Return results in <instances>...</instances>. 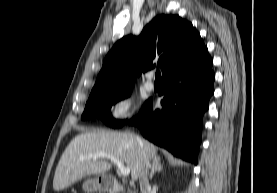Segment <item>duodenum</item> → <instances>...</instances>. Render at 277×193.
I'll return each mask as SVG.
<instances>
[{
  "mask_svg": "<svg viewBox=\"0 0 277 193\" xmlns=\"http://www.w3.org/2000/svg\"><path fill=\"white\" fill-rule=\"evenodd\" d=\"M102 187L109 193H121L124 190V187L116 179H106Z\"/></svg>",
  "mask_w": 277,
  "mask_h": 193,
  "instance_id": "duodenum-1",
  "label": "duodenum"
}]
</instances>
